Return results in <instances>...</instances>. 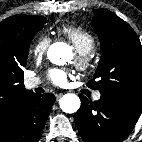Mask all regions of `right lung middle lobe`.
I'll use <instances>...</instances> for the list:
<instances>
[{
    "instance_id": "right-lung-middle-lobe-1",
    "label": "right lung middle lobe",
    "mask_w": 142,
    "mask_h": 142,
    "mask_svg": "<svg viewBox=\"0 0 142 142\" xmlns=\"http://www.w3.org/2000/svg\"><path fill=\"white\" fill-rule=\"evenodd\" d=\"M47 22L44 17L38 16L32 23L31 27L27 30L21 41V48L23 56L25 58V63H27V56L29 53L30 42L33 39L34 35L37 34L43 28V25ZM24 73L19 74V78L23 81Z\"/></svg>"
}]
</instances>
